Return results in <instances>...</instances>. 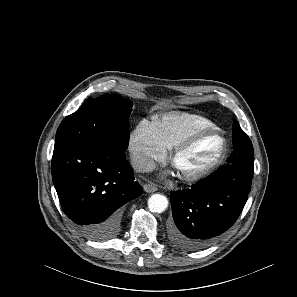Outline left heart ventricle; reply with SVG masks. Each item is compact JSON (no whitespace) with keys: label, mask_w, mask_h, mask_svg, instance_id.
Segmentation results:
<instances>
[{"label":"left heart ventricle","mask_w":297,"mask_h":297,"mask_svg":"<svg viewBox=\"0 0 297 297\" xmlns=\"http://www.w3.org/2000/svg\"><path fill=\"white\" fill-rule=\"evenodd\" d=\"M220 148L221 142L216 135L204 136L177 157L174 169L181 175L195 174L214 161Z\"/></svg>","instance_id":"b2bd125f"}]
</instances>
